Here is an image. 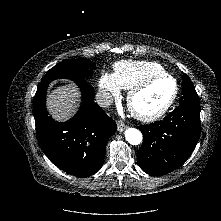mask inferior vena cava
Listing matches in <instances>:
<instances>
[{"mask_svg": "<svg viewBox=\"0 0 221 221\" xmlns=\"http://www.w3.org/2000/svg\"><path fill=\"white\" fill-rule=\"evenodd\" d=\"M113 98L112 95L106 90H101L96 94V103L100 107H108L112 104Z\"/></svg>", "mask_w": 221, "mask_h": 221, "instance_id": "602c4592", "label": "inferior vena cava"}]
</instances>
